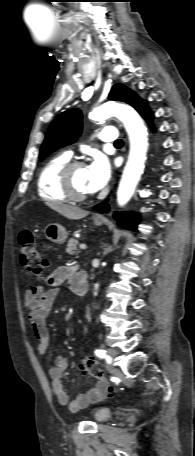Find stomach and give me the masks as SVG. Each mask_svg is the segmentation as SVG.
<instances>
[{
    "label": "stomach",
    "instance_id": "0dacf381",
    "mask_svg": "<svg viewBox=\"0 0 195 456\" xmlns=\"http://www.w3.org/2000/svg\"><path fill=\"white\" fill-rule=\"evenodd\" d=\"M93 222L96 226H101L103 224V220L100 219H94ZM45 234L50 241L58 244L64 243L68 236L66 229L57 223L49 224L45 229Z\"/></svg>",
    "mask_w": 195,
    "mask_h": 456
}]
</instances>
